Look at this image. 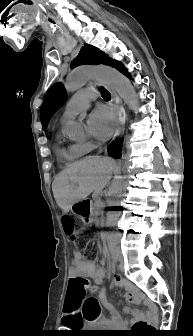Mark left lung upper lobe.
<instances>
[{"mask_svg":"<svg viewBox=\"0 0 193 336\" xmlns=\"http://www.w3.org/2000/svg\"><path fill=\"white\" fill-rule=\"evenodd\" d=\"M112 63L113 60L109 59L104 53H101L95 47L86 44L80 50V53L74 60L72 67L82 64H105L111 66ZM64 95V88L60 83L54 84L48 90L41 107V122L43 128H45L53 113L62 105Z\"/></svg>","mask_w":193,"mask_h":336,"instance_id":"1","label":"left lung upper lobe"}]
</instances>
